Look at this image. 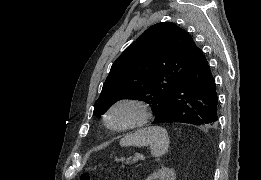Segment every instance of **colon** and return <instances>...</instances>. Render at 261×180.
Wrapping results in <instances>:
<instances>
[{
	"mask_svg": "<svg viewBox=\"0 0 261 180\" xmlns=\"http://www.w3.org/2000/svg\"><path fill=\"white\" fill-rule=\"evenodd\" d=\"M80 180H90V174L88 173H82L80 175Z\"/></svg>",
	"mask_w": 261,
	"mask_h": 180,
	"instance_id": "5ec220e1",
	"label": "colon"
}]
</instances>
